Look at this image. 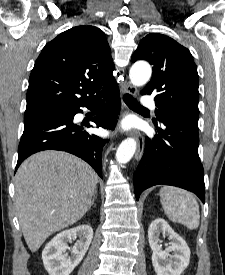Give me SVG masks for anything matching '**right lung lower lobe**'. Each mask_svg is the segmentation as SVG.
Listing matches in <instances>:
<instances>
[{
    "label": "right lung lower lobe",
    "mask_w": 225,
    "mask_h": 275,
    "mask_svg": "<svg viewBox=\"0 0 225 275\" xmlns=\"http://www.w3.org/2000/svg\"><path fill=\"white\" fill-rule=\"evenodd\" d=\"M102 97H106L108 103L92 121L97 127L113 129L121 107L118 87L109 90ZM99 101L100 99H96L88 104L63 106L24 115V132L19 143L16 170L28 156L36 152L61 150L82 158L102 177V148L106 140L83 131L81 125L73 123L75 114L82 113L80 107L92 108Z\"/></svg>",
    "instance_id": "98d812e1"
}]
</instances>
